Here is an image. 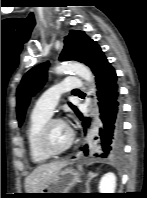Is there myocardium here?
<instances>
[{"instance_id": "1", "label": "myocardium", "mask_w": 147, "mask_h": 198, "mask_svg": "<svg viewBox=\"0 0 147 198\" xmlns=\"http://www.w3.org/2000/svg\"><path fill=\"white\" fill-rule=\"evenodd\" d=\"M57 122H62L61 119L58 118H49L42 126L40 133H39V138H38V143L41 151L45 153L46 155L50 157H54L60 154H63L66 152L74 142V133L71 129H69L70 132V137L68 142L60 149H55L51 146L50 140H49V130L52 124L57 123Z\"/></svg>"}]
</instances>
